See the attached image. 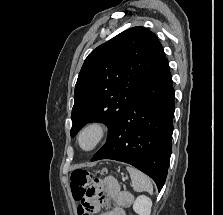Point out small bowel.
Here are the masks:
<instances>
[{"instance_id": "obj_1", "label": "small bowel", "mask_w": 223, "mask_h": 215, "mask_svg": "<svg viewBox=\"0 0 223 215\" xmlns=\"http://www.w3.org/2000/svg\"><path fill=\"white\" fill-rule=\"evenodd\" d=\"M83 202L91 206L92 211H97L100 205H105L108 210L99 215H126V209L131 206L133 196L127 191L120 190L112 177H106L95 180L87 187ZM78 213L83 215L79 209Z\"/></svg>"}]
</instances>
